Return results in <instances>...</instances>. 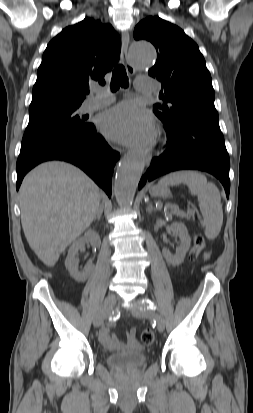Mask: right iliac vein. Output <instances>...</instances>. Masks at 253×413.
I'll use <instances>...</instances> for the list:
<instances>
[{
    "label": "right iliac vein",
    "mask_w": 253,
    "mask_h": 413,
    "mask_svg": "<svg viewBox=\"0 0 253 413\" xmlns=\"http://www.w3.org/2000/svg\"><path fill=\"white\" fill-rule=\"evenodd\" d=\"M117 298L114 294H109L104 302L102 303L95 319H94V326L95 327H99L103 320L108 317L110 315V313L112 312L115 304H116Z\"/></svg>",
    "instance_id": "right-iliac-vein-1"
}]
</instances>
